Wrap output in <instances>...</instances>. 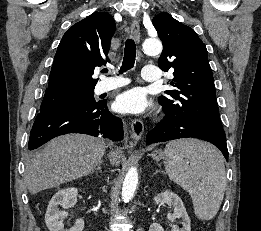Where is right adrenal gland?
Listing matches in <instances>:
<instances>
[{"instance_id":"2a0ac1e0","label":"right adrenal gland","mask_w":261,"mask_h":231,"mask_svg":"<svg viewBox=\"0 0 261 231\" xmlns=\"http://www.w3.org/2000/svg\"><path fill=\"white\" fill-rule=\"evenodd\" d=\"M101 164H102V161L97 165V168H95V169L92 171V173L97 172V171L102 172V170H101Z\"/></svg>"}]
</instances>
